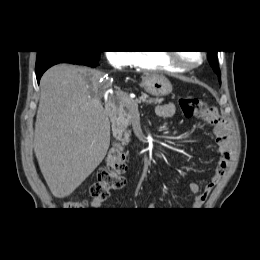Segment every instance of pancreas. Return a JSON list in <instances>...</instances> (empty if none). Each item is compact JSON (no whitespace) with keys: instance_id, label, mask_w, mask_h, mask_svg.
<instances>
[{"instance_id":"1","label":"pancreas","mask_w":260,"mask_h":260,"mask_svg":"<svg viewBox=\"0 0 260 260\" xmlns=\"http://www.w3.org/2000/svg\"><path fill=\"white\" fill-rule=\"evenodd\" d=\"M132 103L144 102L147 104H160L163 102L161 98H151L147 94L142 93L139 99L129 98ZM118 111L115 117V123L118 127V138L123 145H126L130 141V133L128 127L131 125V116L133 114V108L131 105L118 100Z\"/></svg>"}]
</instances>
